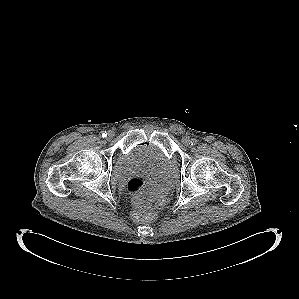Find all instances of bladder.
<instances>
[{
  "label": "bladder",
  "instance_id": "bladder-1",
  "mask_svg": "<svg viewBox=\"0 0 299 299\" xmlns=\"http://www.w3.org/2000/svg\"><path fill=\"white\" fill-rule=\"evenodd\" d=\"M142 165H153L167 173L174 174L170 159L163 148L149 141L132 145L116 163L114 172L117 177L123 178L129 172Z\"/></svg>",
  "mask_w": 299,
  "mask_h": 299
}]
</instances>
